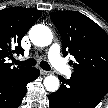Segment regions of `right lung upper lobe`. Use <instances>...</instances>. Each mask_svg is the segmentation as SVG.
Listing matches in <instances>:
<instances>
[{"instance_id":"1","label":"right lung upper lobe","mask_w":108,"mask_h":108,"mask_svg":"<svg viewBox=\"0 0 108 108\" xmlns=\"http://www.w3.org/2000/svg\"><path fill=\"white\" fill-rule=\"evenodd\" d=\"M41 14V11L21 7L0 10V80L20 75L28 69L12 67L6 60L11 59L13 53H24L21 40Z\"/></svg>"}]
</instances>
